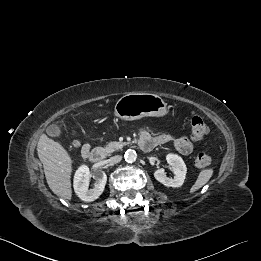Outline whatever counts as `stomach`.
Returning a JSON list of instances; mask_svg holds the SVG:
<instances>
[{
    "instance_id": "1",
    "label": "stomach",
    "mask_w": 261,
    "mask_h": 261,
    "mask_svg": "<svg viewBox=\"0 0 261 261\" xmlns=\"http://www.w3.org/2000/svg\"><path fill=\"white\" fill-rule=\"evenodd\" d=\"M168 113L164 100L151 93H128L115 105V115L122 120L132 121L143 117H161Z\"/></svg>"
}]
</instances>
